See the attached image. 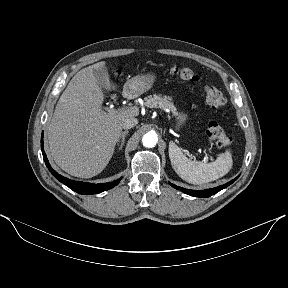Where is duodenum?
Instances as JSON below:
<instances>
[{"label":"duodenum","instance_id":"duodenum-1","mask_svg":"<svg viewBox=\"0 0 288 288\" xmlns=\"http://www.w3.org/2000/svg\"><path fill=\"white\" fill-rule=\"evenodd\" d=\"M128 94H129L128 90H125L124 91V96H128Z\"/></svg>","mask_w":288,"mask_h":288}]
</instances>
